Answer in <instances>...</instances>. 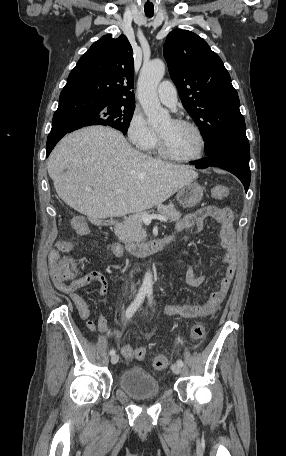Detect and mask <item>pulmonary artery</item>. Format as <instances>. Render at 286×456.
<instances>
[{
	"instance_id": "1",
	"label": "pulmonary artery",
	"mask_w": 286,
	"mask_h": 456,
	"mask_svg": "<svg viewBox=\"0 0 286 456\" xmlns=\"http://www.w3.org/2000/svg\"><path fill=\"white\" fill-rule=\"evenodd\" d=\"M157 97L164 105L175 107L177 104L176 87L169 81H163L157 88Z\"/></svg>"
}]
</instances>
